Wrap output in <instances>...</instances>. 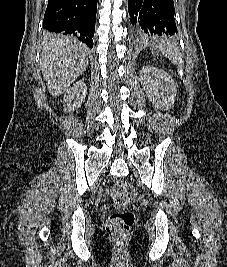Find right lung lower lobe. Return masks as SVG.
<instances>
[{"mask_svg":"<svg viewBox=\"0 0 227 267\" xmlns=\"http://www.w3.org/2000/svg\"><path fill=\"white\" fill-rule=\"evenodd\" d=\"M98 0H48L43 27L46 31L76 36L93 47Z\"/></svg>","mask_w":227,"mask_h":267,"instance_id":"98d812e1","label":"right lung lower lobe"}]
</instances>
